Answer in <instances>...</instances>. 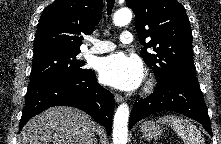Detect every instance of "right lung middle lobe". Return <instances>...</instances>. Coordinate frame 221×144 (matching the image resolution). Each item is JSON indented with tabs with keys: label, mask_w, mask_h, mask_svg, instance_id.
<instances>
[{
	"label": "right lung middle lobe",
	"mask_w": 221,
	"mask_h": 144,
	"mask_svg": "<svg viewBox=\"0 0 221 144\" xmlns=\"http://www.w3.org/2000/svg\"><path fill=\"white\" fill-rule=\"evenodd\" d=\"M80 53L62 50H46L34 53L28 88L51 78L63 75H81L88 71L83 62L76 60Z\"/></svg>",
	"instance_id": "right-lung-middle-lobe-1"
}]
</instances>
